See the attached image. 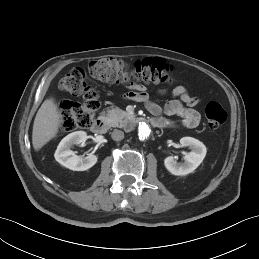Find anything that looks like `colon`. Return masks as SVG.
Returning a JSON list of instances; mask_svg holds the SVG:
<instances>
[{
  "mask_svg": "<svg viewBox=\"0 0 259 259\" xmlns=\"http://www.w3.org/2000/svg\"><path fill=\"white\" fill-rule=\"evenodd\" d=\"M87 78L115 84L172 82L170 67L158 59L140 61L131 67L119 58L108 57L92 61L84 68H74L60 81L62 91L80 98L79 102L67 101L61 105V125L65 131L88 127L100 107L98 94ZM205 116L210 130L220 128L227 118L226 111L216 101L207 103Z\"/></svg>",
  "mask_w": 259,
  "mask_h": 259,
  "instance_id": "obj_1",
  "label": "colon"
}]
</instances>
